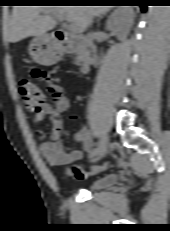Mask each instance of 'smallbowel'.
Instances as JSON below:
<instances>
[{
	"label": "small bowel",
	"instance_id": "1",
	"mask_svg": "<svg viewBox=\"0 0 170 231\" xmlns=\"http://www.w3.org/2000/svg\"><path fill=\"white\" fill-rule=\"evenodd\" d=\"M31 76L38 82L46 83L49 90L50 103H42L40 109L33 116L35 125L41 123L46 117H49L52 122L49 139H46V135L42 131H36L37 137L41 140L40 153L42 157L51 167L71 164L81 160L83 152L91 153L94 150V143L88 129L81 127L75 134V139L81 144L83 151L77 149L67 152L64 143L60 139L63 129L61 114L69 106L63 88L52 83L47 71L41 68H34L31 71Z\"/></svg>",
	"mask_w": 170,
	"mask_h": 231
}]
</instances>
